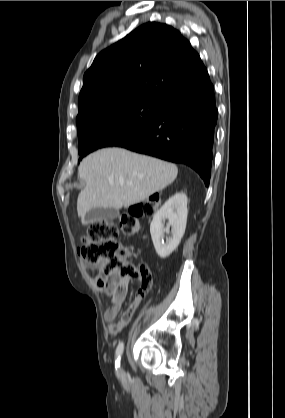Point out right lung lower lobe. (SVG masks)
<instances>
[{
    "label": "right lung lower lobe",
    "instance_id": "obj_1",
    "mask_svg": "<svg viewBox=\"0 0 285 418\" xmlns=\"http://www.w3.org/2000/svg\"><path fill=\"white\" fill-rule=\"evenodd\" d=\"M218 111L209 75L162 105L159 116L115 146L190 166L206 186L211 177Z\"/></svg>",
    "mask_w": 285,
    "mask_h": 418
}]
</instances>
